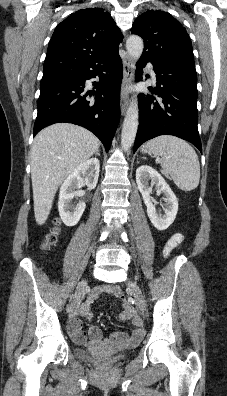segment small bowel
<instances>
[{"label": "small bowel", "mask_w": 227, "mask_h": 396, "mask_svg": "<svg viewBox=\"0 0 227 396\" xmlns=\"http://www.w3.org/2000/svg\"><path fill=\"white\" fill-rule=\"evenodd\" d=\"M184 241V236L181 233L173 234L170 239L166 242L163 253L169 255L174 249L179 247ZM112 294L119 296L121 290L114 285H105L96 287L88 296L87 300L82 304L79 310V316L90 320L93 316L91 305L92 303L102 294ZM120 319L123 321L131 320L133 325V331L130 335L125 332H113L106 339L103 338L101 330L96 326H90L88 331L85 332L81 327V320L79 317L73 318L69 322V331L73 339L79 343H85L89 341L94 345L102 344L106 342L111 345H131L138 343L143 335L144 331L141 327L139 319L135 316L133 307L128 304H123V310L120 314Z\"/></svg>", "instance_id": "1"}]
</instances>
